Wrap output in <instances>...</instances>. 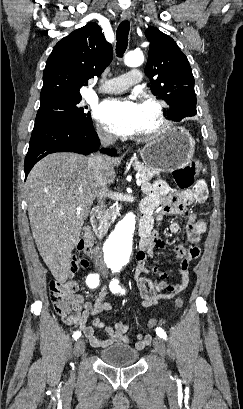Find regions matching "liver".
I'll return each instance as SVG.
<instances>
[{"instance_id":"1","label":"liver","mask_w":243,"mask_h":409,"mask_svg":"<svg viewBox=\"0 0 243 409\" xmlns=\"http://www.w3.org/2000/svg\"><path fill=\"white\" fill-rule=\"evenodd\" d=\"M104 174L107 187L115 180L109 158ZM25 190L38 251L53 277L63 283L70 274L72 250L100 192L91 178L89 157L66 152L47 155L30 171Z\"/></svg>"}]
</instances>
